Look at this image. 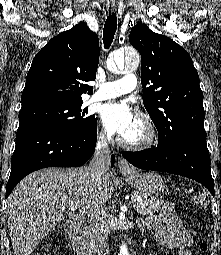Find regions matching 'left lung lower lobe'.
<instances>
[{"mask_svg":"<svg viewBox=\"0 0 221 255\" xmlns=\"http://www.w3.org/2000/svg\"><path fill=\"white\" fill-rule=\"evenodd\" d=\"M123 156L141 169L192 178L214 195V181L211 176L206 137L187 136L173 144L158 142L156 148L139 152H124Z\"/></svg>","mask_w":221,"mask_h":255,"instance_id":"0a47b994","label":"left lung lower lobe"}]
</instances>
